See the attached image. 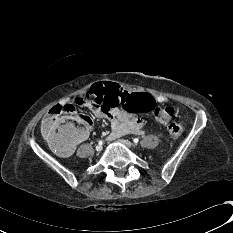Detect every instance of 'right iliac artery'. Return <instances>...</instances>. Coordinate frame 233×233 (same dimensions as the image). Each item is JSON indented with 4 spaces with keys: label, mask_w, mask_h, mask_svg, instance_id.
<instances>
[{
    "label": "right iliac artery",
    "mask_w": 233,
    "mask_h": 233,
    "mask_svg": "<svg viewBox=\"0 0 233 233\" xmlns=\"http://www.w3.org/2000/svg\"><path fill=\"white\" fill-rule=\"evenodd\" d=\"M103 144V142L102 141H99V145H102Z\"/></svg>",
    "instance_id": "1"
}]
</instances>
